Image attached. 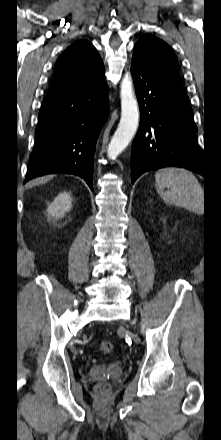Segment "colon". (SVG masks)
Segmentation results:
<instances>
[{"label": "colon", "instance_id": "5ec220e1", "mask_svg": "<svg viewBox=\"0 0 221 440\" xmlns=\"http://www.w3.org/2000/svg\"><path fill=\"white\" fill-rule=\"evenodd\" d=\"M112 349H113V346H112V344H111L110 342H108V341H104V342H101V343L99 344V351H100L101 353H103V354H108V353H110V352L112 351ZM107 389H108V385H107V384H99V385H97V390H98L99 392H101V393L106 392Z\"/></svg>", "mask_w": 221, "mask_h": 440}]
</instances>
